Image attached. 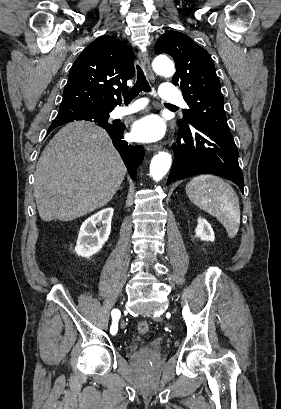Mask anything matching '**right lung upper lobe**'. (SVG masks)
<instances>
[{"label": "right lung upper lobe", "mask_w": 281, "mask_h": 409, "mask_svg": "<svg viewBox=\"0 0 281 409\" xmlns=\"http://www.w3.org/2000/svg\"><path fill=\"white\" fill-rule=\"evenodd\" d=\"M134 53L109 35L90 43L73 63L59 109L112 111L134 71Z\"/></svg>", "instance_id": "obj_1"}]
</instances>
